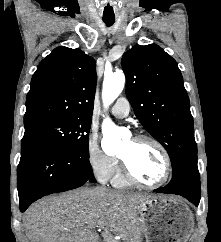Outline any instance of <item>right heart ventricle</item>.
Listing matches in <instances>:
<instances>
[{
	"label": "right heart ventricle",
	"mask_w": 221,
	"mask_h": 242,
	"mask_svg": "<svg viewBox=\"0 0 221 242\" xmlns=\"http://www.w3.org/2000/svg\"><path fill=\"white\" fill-rule=\"evenodd\" d=\"M112 184L119 188H124L131 185V182L125 177L121 165L118 163L112 176Z\"/></svg>",
	"instance_id": "1"
}]
</instances>
